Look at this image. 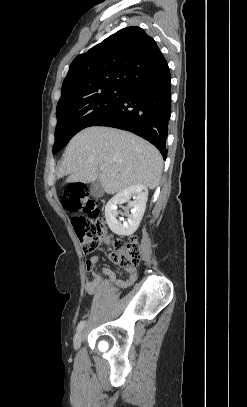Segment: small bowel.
I'll use <instances>...</instances> for the list:
<instances>
[{
    "label": "small bowel",
    "instance_id": "1",
    "mask_svg": "<svg viewBox=\"0 0 247 407\" xmlns=\"http://www.w3.org/2000/svg\"><path fill=\"white\" fill-rule=\"evenodd\" d=\"M108 242H109L108 238H105L103 240V243H108ZM97 263H98L97 255L92 256L86 262V270L88 272L92 273L91 279L86 283V291L89 295L98 294L103 285L102 278L93 272ZM102 271L109 278L110 283H116L121 288H125V287L132 285L137 279V269L134 266L126 269L127 276L125 277L124 280H116L115 273L109 268L104 267L102 269Z\"/></svg>",
    "mask_w": 247,
    "mask_h": 407
}]
</instances>
